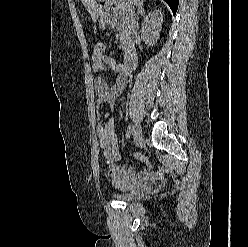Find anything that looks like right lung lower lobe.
<instances>
[{"mask_svg":"<svg viewBox=\"0 0 248 247\" xmlns=\"http://www.w3.org/2000/svg\"><path fill=\"white\" fill-rule=\"evenodd\" d=\"M164 1L167 2V4L172 9L173 14L175 15L177 8H178L179 0H164Z\"/></svg>","mask_w":248,"mask_h":247,"instance_id":"obj_1","label":"right lung lower lobe"}]
</instances>
